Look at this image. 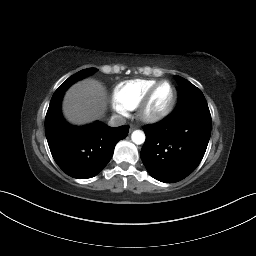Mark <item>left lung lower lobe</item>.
Returning <instances> with one entry per match:
<instances>
[{"label": "left lung lower lobe", "mask_w": 256, "mask_h": 256, "mask_svg": "<svg viewBox=\"0 0 256 256\" xmlns=\"http://www.w3.org/2000/svg\"><path fill=\"white\" fill-rule=\"evenodd\" d=\"M141 159L149 174L165 183L178 182L201 162L211 134L208 106L174 110L162 121L144 127Z\"/></svg>", "instance_id": "obj_1"}]
</instances>
